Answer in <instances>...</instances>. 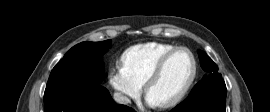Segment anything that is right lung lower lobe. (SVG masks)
<instances>
[{"instance_id": "1", "label": "right lung lower lobe", "mask_w": 270, "mask_h": 112, "mask_svg": "<svg viewBox=\"0 0 270 112\" xmlns=\"http://www.w3.org/2000/svg\"><path fill=\"white\" fill-rule=\"evenodd\" d=\"M44 112H135L119 105L101 85L89 87L58 83L46 88Z\"/></svg>"}]
</instances>
